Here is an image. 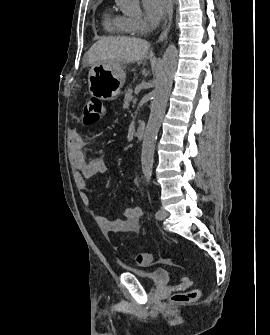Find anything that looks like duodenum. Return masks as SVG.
<instances>
[{
  "label": "duodenum",
  "instance_id": "duodenum-1",
  "mask_svg": "<svg viewBox=\"0 0 270 335\" xmlns=\"http://www.w3.org/2000/svg\"><path fill=\"white\" fill-rule=\"evenodd\" d=\"M145 135V124L139 123L136 130H135V136L138 140H143Z\"/></svg>",
  "mask_w": 270,
  "mask_h": 335
}]
</instances>
